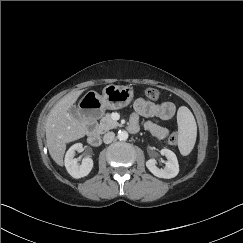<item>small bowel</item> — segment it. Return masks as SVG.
<instances>
[{"label": "small bowel", "instance_id": "small-bowel-1", "mask_svg": "<svg viewBox=\"0 0 243 243\" xmlns=\"http://www.w3.org/2000/svg\"><path fill=\"white\" fill-rule=\"evenodd\" d=\"M135 113L131 116L130 130L137 129L138 117H143L148 120L144 127L149 130L158 139L166 138L168 131L162 127L158 120H171L175 116V106L173 103L165 101L162 103H153L143 98H139L134 104Z\"/></svg>", "mask_w": 243, "mask_h": 243}]
</instances>
